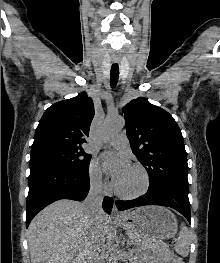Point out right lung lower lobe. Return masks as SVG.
Returning <instances> with one entry per match:
<instances>
[{"label":"right lung lower lobe","mask_w":220,"mask_h":263,"mask_svg":"<svg viewBox=\"0 0 220 263\" xmlns=\"http://www.w3.org/2000/svg\"><path fill=\"white\" fill-rule=\"evenodd\" d=\"M89 171L75 170L49 161H30L26 227L44 207L60 199L82 201L89 191ZM113 200L105 197L103 209L110 214Z\"/></svg>","instance_id":"98d812e1"}]
</instances>
